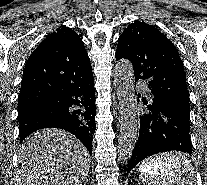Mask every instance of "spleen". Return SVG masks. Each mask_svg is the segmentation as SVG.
I'll return each mask as SVG.
<instances>
[{"label": "spleen", "instance_id": "1", "mask_svg": "<svg viewBox=\"0 0 207 185\" xmlns=\"http://www.w3.org/2000/svg\"><path fill=\"white\" fill-rule=\"evenodd\" d=\"M182 151L153 153V158H143L138 171H151L141 174V183L146 185H192L198 172L194 171L192 158H180ZM179 158V159H175Z\"/></svg>", "mask_w": 207, "mask_h": 185}]
</instances>
